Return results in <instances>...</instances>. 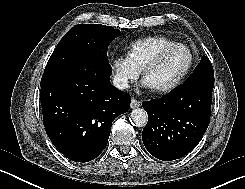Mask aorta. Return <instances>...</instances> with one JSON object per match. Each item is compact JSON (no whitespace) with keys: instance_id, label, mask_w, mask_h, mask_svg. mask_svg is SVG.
Wrapping results in <instances>:
<instances>
[{"instance_id":"aorta-1","label":"aorta","mask_w":245,"mask_h":189,"mask_svg":"<svg viewBox=\"0 0 245 189\" xmlns=\"http://www.w3.org/2000/svg\"><path fill=\"white\" fill-rule=\"evenodd\" d=\"M130 120L136 127H144L148 120V115L144 109L136 108L130 113Z\"/></svg>"}]
</instances>
